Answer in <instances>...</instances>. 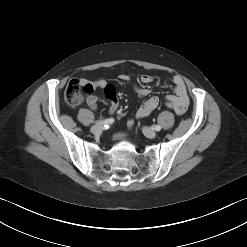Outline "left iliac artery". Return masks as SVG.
Instances as JSON below:
<instances>
[{
    "label": "left iliac artery",
    "mask_w": 247,
    "mask_h": 247,
    "mask_svg": "<svg viewBox=\"0 0 247 247\" xmlns=\"http://www.w3.org/2000/svg\"><path fill=\"white\" fill-rule=\"evenodd\" d=\"M154 129H155L156 131H160V130H161V126L156 125V126L154 127Z\"/></svg>",
    "instance_id": "1"
}]
</instances>
